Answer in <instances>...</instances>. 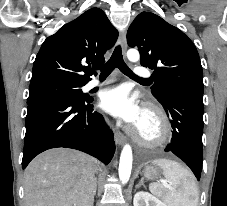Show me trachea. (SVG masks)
I'll return each instance as SVG.
<instances>
[{
	"instance_id": "obj_1",
	"label": "trachea",
	"mask_w": 227,
	"mask_h": 206,
	"mask_svg": "<svg viewBox=\"0 0 227 206\" xmlns=\"http://www.w3.org/2000/svg\"><path fill=\"white\" fill-rule=\"evenodd\" d=\"M118 68L122 73L129 76L132 79L139 80V81H148V79H143L135 76L133 72L130 70V68L125 64L123 57H122V50L121 46L118 45L111 58L103 65L101 66H95L94 69L100 70L101 78L107 77L115 68Z\"/></svg>"
}]
</instances>
